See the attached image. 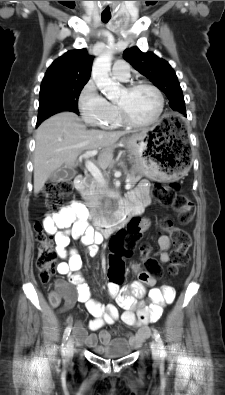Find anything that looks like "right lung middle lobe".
<instances>
[{"mask_svg":"<svg viewBox=\"0 0 225 395\" xmlns=\"http://www.w3.org/2000/svg\"><path fill=\"white\" fill-rule=\"evenodd\" d=\"M86 83L49 84L41 86L37 122L60 111L79 114L78 98Z\"/></svg>","mask_w":225,"mask_h":395,"instance_id":"dd1d6c3e","label":"right lung middle lobe"}]
</instances>
